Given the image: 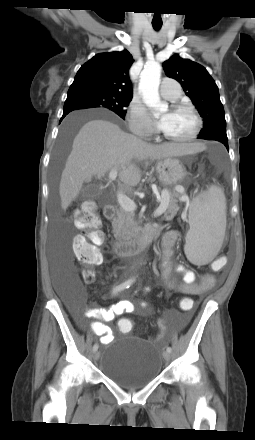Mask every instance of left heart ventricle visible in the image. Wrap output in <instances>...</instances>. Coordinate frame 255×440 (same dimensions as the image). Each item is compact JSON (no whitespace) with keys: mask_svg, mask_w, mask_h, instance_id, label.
<instances>
[{"mask_svg":"<svg viewBox=\"0 0 255 440\" xmlns=\"http://www.w3.org/2000/svg\"><path fill=\"white\" fill-rule=\"evenodd\" d=\"M162 117L167 118V125L163 131L174 138H185L195 128V119L186 110L164 112Z\"/></svg>","mask_w":255,"mask_h":440,"instance_id":"obj_1","label":"left heart ventricle"}]
</instances>
